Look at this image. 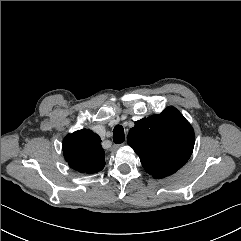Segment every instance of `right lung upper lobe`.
Segmentation results:
<instances>
[{"mask_svg":"<svg viewBox=\"0 0 241 241\" xmlns=\"http://www.w3.org/2000/svg\"><path fill=\"white\" fill-rule=\"evenodd\" d=\"M100 137L89 129L67 135L63 153L69 166L81 173H96L105 166V152Z\"/></svg>","mask_w":241,"mask_h":241,"instance_id":"1","label":"right lung upper lobe"}]
</instances>
